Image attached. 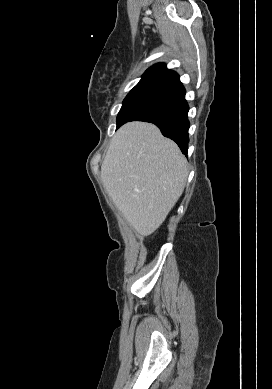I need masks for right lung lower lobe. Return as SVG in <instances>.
<instances>
[{"instance_id":"98d812e1","label":"right lung lower lobe","mask_w":272,"mask_h":389,"mask_svg":"<svg viewBox=\"0 0 272 389\" xmlns=\"http://www.w3.org/2000/svg\"><path fill=\"white\" fill-rule=\"evenodd\" d=\"M185 93L179 80L160 88L130 110L117 129L129 121L151 122L159 127L163 136L174 140L182 153L187 155L190 123Z\"/></svg>"}]
</instances>
